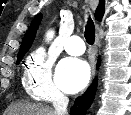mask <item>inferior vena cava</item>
Here are the masks:
<instances>
[{"label":"inferior vena cava","instance_id":"602c4592","mask_svg":"<svg viewBox=\"0 0 131 115\" xmlns=\"http://www.w3.org/2000/svg\"><path fill=\"white\" fill-rule=\"evenodd\" d=\"M69 99L63 94H57L53 100V107L56 115H67Z\"/></svg>","mask_w":131,"mask_h":115}]
</instances>
